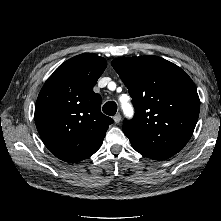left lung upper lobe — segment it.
<instances>
[{"mask_svg":"<svg viewBox=\"0 0 221 221\" xmlns=\"http://www.w3.org/2000/svg\"><path fill=\"white\" fill-rule=\"evenodd\" d=\"M112 66L128 88L135 107L123 132L140 154L165 160L191 138L200 101L191 78L177 65L157 56L117 58Z\"/></svg>","mask_w":221,"mask_h":221,"instance_id":"left-lung-upper-lobe-1","label":"left lung upper lobe"}]
</instances>
